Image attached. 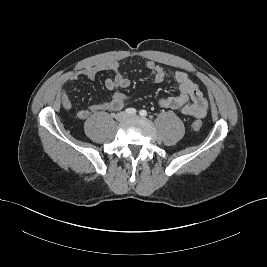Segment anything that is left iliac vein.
Here are the masks:
<instances>
[{"mask_svg":"<svg viewBox=\"0 0 267 267\" xmlns=\"http://www.w3.org/2000/svg\"><path fill=\"white\" fill-rule=\"evenodd\" d=\"M136 117V115H130L129 116V118H135Z\"/></svg>","mask_w":267,"mask_h":267,"instance_id":"4c4485c4","label":"left iliac vein"}]
</instances>
